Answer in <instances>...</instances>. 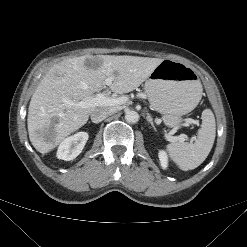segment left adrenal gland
Instances as JSON below:
<instances>
[{"label":"left adrenal gland","mask_w":247,"mask_h":247,"mask_svg":"<svg viewBox=\"0 0 247 247\" xmlns=\"http://www.w3.org/2000/svg\"><path fill=\"white\" fill-rule=\"evenodd\" d=\"M146 120L151 124L153 129L156 130V128L154 126V123H153V119H152V117H151V115L149 113H147Z\"/></svg>","instance_id":"1"}]
</instances>
